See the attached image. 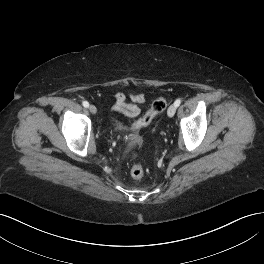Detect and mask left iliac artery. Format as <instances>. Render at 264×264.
<instances>
[{"instance_id":"1","label":"left iliac artery","mask_w":264,"mask_h":264,"mask_svg":"<svg viewBox=\"0 0 264 264\" xmlns=\"http://www.w3.org/2000/svg\"><path fill=\"white\" fill-rule=\"evenodd\" d=\"M180 103H181V100H180V99H177V100L174 102V105H175L176 107H178V106L180 105Z\"/></svg>"}]
</instances>
